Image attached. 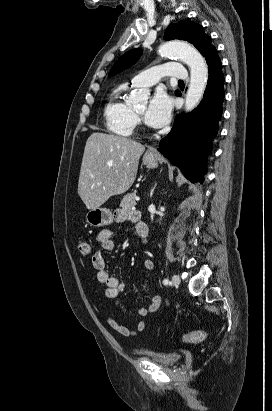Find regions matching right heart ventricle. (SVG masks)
<instances>
[{"instance_id": "e07e8e85", "label": "right heart ventricle", "mask_w": 272, "mask_h": 411, "mask_svg": "<svg viewBox=\"0 0 272 411\" xmlns=\"http://www.w3.org/2000/svg\"><path fill=\"white\" fill-rule=\"evenodd\" d=\"M128 85L122 84L112 91L104 109L108 130L116 135L128 137L132 134L136 119L132 107L123 99Z\"/></svg>"}]
</instances>
